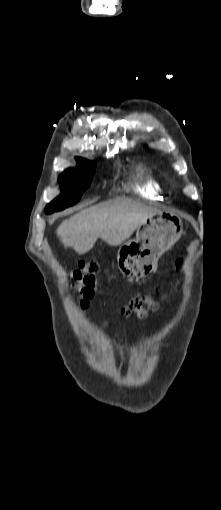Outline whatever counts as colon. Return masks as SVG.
<instances>
[{"label": "colon", "instance_id": "5ec220e1", "mask_svg": "<svg viewBox=\"0 0 221 510\" xmlns=\"http://www.w3.org/2000/svg\"><path fill=\"white\" fill-rule=\"evenodd\" d=\"M99 270V265L95 261H86L81 263L75 270L73 277L75 280L74 288L80 297V306L86 309L94 295L95 275ZM157 309V303L152 301L147 294L133 297L125 305L121 312L123 315H135L138 318H145L150 312Z\"/></svg>", "mask_w": 221, "mask_h": 510}]
</instances>
